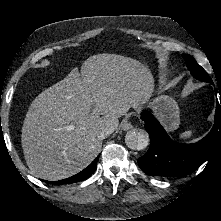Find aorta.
Returning a JSON list of instances; mask_svg holds the SVG:
<instances>
[{
    "label": "aorta",
    "mask_w": 221,
    "mask_h": 221,
    "mask_svg": "<svg viewBox=\"0 0 221 221\" xmlns=\"http://www.w3.org/2000/svg\"><path fill=\"white\" fill-rule=\"evenodd\" d=\"M149 134L143 129H133L126 133L125 143L132 150H143L149 144Z\"/></svg>",
    "instance_id": "762f6f07"
}]
</instances>
